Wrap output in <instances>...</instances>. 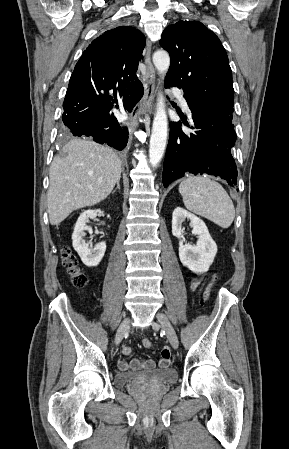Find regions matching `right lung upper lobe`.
Returning <instances> with one entry per match:
<instances>
[{
  "instance_id": "1",
  "label": "right lung upper lobe",
  "mask_w": 289,
  "mask_h": 449,
  "mask_svg": "<svg viewBox=\"0 0 289 449\" xmlns=\"http://www.w3.org/2000/svg\"><path fill=\"white\" fill-rule=\"evenodd\" d=\"M144 46L145 36L131 26L105 31L83 52L71 76L115 85L132 80L137 77Z\"/></svg>"
}]
</instances>
